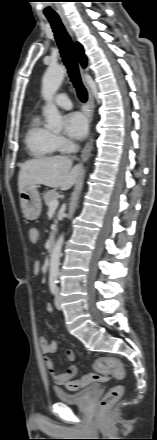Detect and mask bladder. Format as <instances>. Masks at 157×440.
I'll use <instances>...</instances> for the list:
<instances>
[{
	"mask_svg": "<svg viewBox=\"0 0 157 440\" xmlns=\"http://www.w3.org/2000/svg\"><path fill=\"white\" fill-rule=\"evenodd\" d=\"M97 390V385H91L78 392L56 390L55 393L58 400L64 404H82L91 398Z\"/></svg>",
	"mask_w": 157,
	"mask_h": 440,
	"instance_id": "31cf9c89",
	"label": "bladder"
}]
</instances>
